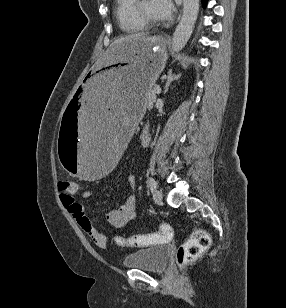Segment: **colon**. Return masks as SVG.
Wrapping results in <instances>:
<instances>
[{
	"label": "colon",
	"mask_w": 286,
	"mask_h": 308,
	"mask_svg": "<svg viewBox=\"0 0 286 308\" xmlns=\"http://www.w3.org/2000/svg\"><path fill=\"white\" fill-rule=\"evenodd\" d=\"M58 189L63 197L73 198L78 191V183L73 180H62L58 184ZM173 231L168 225H162L159 232L129 237H117L116 243L122 247H147L162 244L170 241ZM210 235L203 229L196 228L190 238L183 243L177 252V262L180 266H185L194 261L210 246Z\"/></svg>",
	"instance_id": "colon-1"
}]
</instances>
